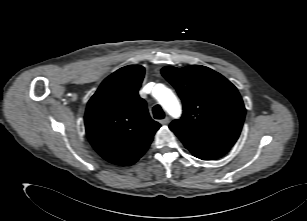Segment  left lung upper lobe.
I'll use <instances>...</instances> for the list:
<instances>
[{"instance_id": "left-lung-upper-lobe-1", "label": "left lung upper lobe", "mask_w": 307, "mask_h": 221, "mask_svg": "<svg viewBox=\"0 0 307 221\" xmlns=\"http://www.w3.org/2000/svg\"><path fill=\"white\" fill-rule=\"evenodd\" d=\"M161 73L183 102L182 117L169 128L181 141L230 149L240 135L246 113L237 88L201 65L166 66Z\"/></svg>"}]
</instances>
